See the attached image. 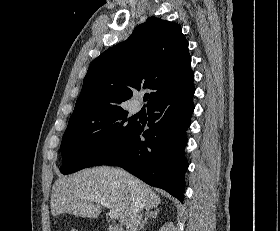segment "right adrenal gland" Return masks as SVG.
Returning a JSON list of instances; mask_svg holds the SVG:
<instances>
[{
	"mask_svg": "<svg viewBox=\"0 0 280 231\" xmlns=\"http://www.w3.org/2000/svg\"><path fill=\"white\" fill-rule=\"evenodd\" d=\"M158 213H159L158 207H155L154 211H146L145 219H143L142 223H140L139 231H142L145 223H148L149 217H157Z\"/></svg>",
	"mask_w": 280,
	"mask_h": 231,
	"instance_id": "1",
	"label": "right adrenal gland"
}]
</instances>
